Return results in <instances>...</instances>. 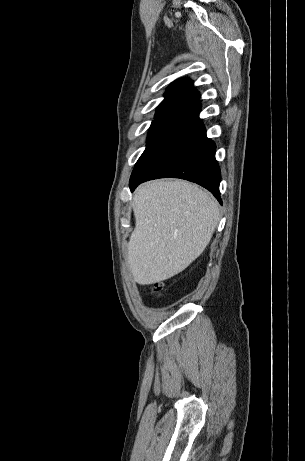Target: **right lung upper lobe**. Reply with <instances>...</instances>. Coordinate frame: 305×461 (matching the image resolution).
Listing matches in <instances>:
<instances>
[{
	"label": "right lung upper lobe",
	"mask_w": 305,
	"mask_h": 461,
	"mask_svg": "<svg viewBox=\"0 0 305 461\" xmlns=\"http://www.w3.org/2000/svg\"><path fill=\"white\" fill-rule=\"evenodd\" d=\"M199 93L193 89V83L188 78L173 82L165 93V99L157 108L181 107L190 109L199 105Z\"/></svg>",
	"instance_id": "1"
}]
</instances>
